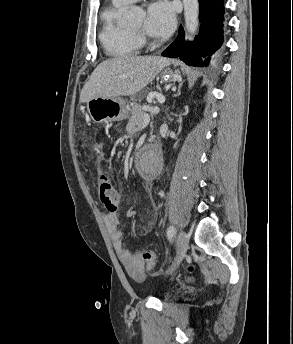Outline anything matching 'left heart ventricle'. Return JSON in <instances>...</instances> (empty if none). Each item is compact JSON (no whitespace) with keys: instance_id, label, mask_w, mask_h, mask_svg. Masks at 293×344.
<instances>
[{"instance_id":"b2bd125f","label":"left heart ventricle","mask_w":293,"mask_h":344,"mask_svg":"<svg viewBox=\"0 0 293 344\" xmlns=\"http://www.w3.org/2000/svg\"><path fill=\"white\" fill-rule=\"evenodd\" d=\"M144 26V17L140 18L130 29L135 32H142Z\"/></svg>"}]
</instances>
